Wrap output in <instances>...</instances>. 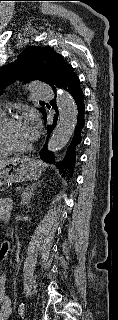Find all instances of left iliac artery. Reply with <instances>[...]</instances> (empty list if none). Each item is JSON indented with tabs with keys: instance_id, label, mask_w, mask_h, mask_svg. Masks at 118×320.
Instances as JSON below:
<instances>
[{
	"instance_id": "left-iliac-artery-1",
	"label": "left iliac artery",
	"mask_w": 118,
	"mask_h": 320,
	"mask_svg": "<svg viewBox=\"0 0 118 320\" xmlns=\"http://www.w3.org/2000/svg\"><path fill=\"white\" fill-rule=\"evenodd\" d=\"M18 312H19L20 316L23 318V316L25 314V305L23 303L20 304Z\"/></svg>"
}]
</instances>
